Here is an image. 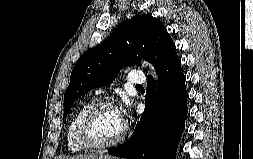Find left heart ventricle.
Segmentation results:
<instances>
[{
    "label": "left heart ventricle",
    "mask_w": 253,
    "mask_h": 159,
    "mask_svg": "<svg viewBox=\"0 0 253 159\" xmlns=\"http://www.w3.org/2000/svg\"><path fill=\"white\" fill-rule=\"evenodd\" d=\"M124 125L116 109H105L94 119L91 125V134L98 142H107L118 137Z\"/></svg>",
    "instance_id": "1"
}]
</instances>
